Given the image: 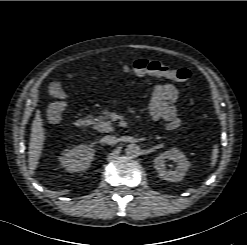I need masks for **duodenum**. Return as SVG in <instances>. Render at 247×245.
Wrapping results in <instances>:
<instances>
[{"label": "duodenum", "instance_id": "1", "mask_svg": "<svg viewBox=\"0 0 247 245\" xmlns=\"http://www.w3.org/2000/svg\"><path fill=\"white\" fill-rule=\"evenodd\" d=\"M91 124V121L87 117H80L76 120L75 125L79 129H85Z\"/></svg>", "mask_w": 247, "mask_h": 245}]
</instances>
